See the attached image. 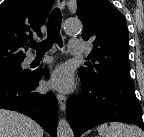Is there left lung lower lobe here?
Wrapping results in <instances>:
<instances>
[{
    "mask_svg": "<svg viewBox=\"0 0 144 137\" xmlns=\"http://www.w3.org/2000/svg\"><path fill=\"white\" fill-rule=\"evenodd\" d=\"M82 93L67 99L68 121L75 137L105 122L135 124L144 130L142 108L134 85L104 80L97 84L82 82Z\"/></svg>",
    "mask_w": 144,
    "mask_h": 137,
    "instance_id": "obj_1",
    "label": "left lung lower lobe"
}]
</instances>
